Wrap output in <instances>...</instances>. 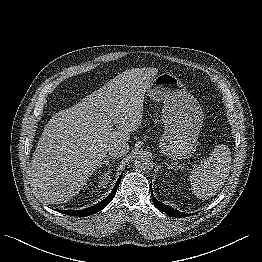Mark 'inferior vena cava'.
<instances>
[{"label":"inferior vena cava","mask_w":262,"mask_h":262,"mask_svg":"<svg viewBox=\"0 0 262 262\" xmlns=\"http://www.w3.org/2000/svg\"><path fill=\"white\" fill-rule=\"evenodd\" d=\"M129 145L126 142L114 143L108 148L109 155L112 157H121L128 153Z\"/></svg>","instance_id":"602c4592"}]
</instances>
